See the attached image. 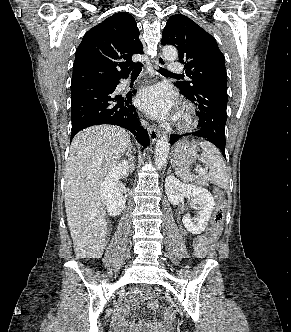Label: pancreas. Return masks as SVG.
I'll return each instance as SVG.
<instances>
[{
  "instance_id": "pancreas-1",
  "label": "pancreas",
  "mask_w": 291,
  "mask_h": 332,
  "mask_svg": "<svg viewBox=\"0 0 291 332\" xmlns=\"http://www.w3.org/2000/svg\"><path fill=\"white\" fill-rule=\"evenodd\" d=\"M198 184L204 185V186H208V182H207V177L206 176H201L198 179Z\"/></svg>"
}]
</instances>
